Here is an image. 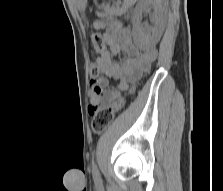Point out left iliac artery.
<instances>
[{
	"instance_id": "44dca946",
	"label": "left iliac artery",
	"mask_w": 223,
	"mask_h": 191,
	"mask_svg": "<svg viewBox=\"0 0 223 191\" xmlns=\"http://www.w3.org/2000/svg\"><path fill=\"white\" fill-rule=\"evenodd\" d=\"M92 174H93V178L95 180V183L97 185H101L102 184V179H101L100 173H99L98 168H97L95 163H93V166H92Z\"/></svg>"
}]
</instances>
